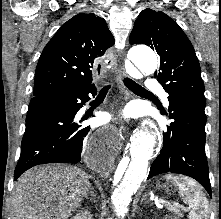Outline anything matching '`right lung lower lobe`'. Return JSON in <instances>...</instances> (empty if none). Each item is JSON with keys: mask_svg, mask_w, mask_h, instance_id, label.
Wrapping results in <instances>:
<instances>
[{"mask_svg": "<svg viewBox=\"0 0 221 219\" xmlns=\"http://www.w3.org/2000/svg\"><path fill=\"white\" fill-rule=\"evenodd\" d=\"M96 95L94 85L35 96L26 116L22 151L14 180L29 168L44 163H77L81 160L90 127L79 125L76 114ZM94 157L101 152L99 144L92 146Z\"/></svg>", "mask_w": 221, "mask_h": 219, "instance_id": "1", "label": "right lung lower lobe"}]
</instances>
